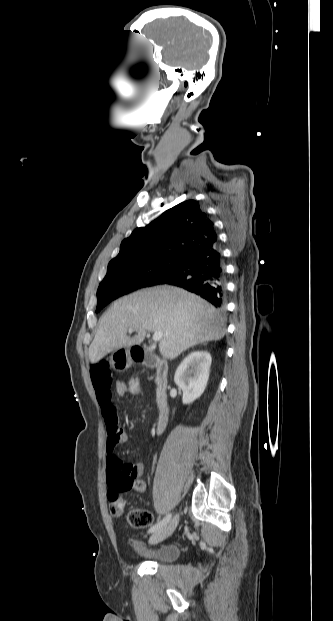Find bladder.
Masks as SVG:
<instances>
[{"label":"bladder","mask_w":333,"mask_h":621,"mask_svg":"<svg viewBox=\"0 0 333 621\" xmlns=\"http://www.w3.org/2000/svg\"><path fill=\"white\" fill-rule=\"evenodd\" d=\"M134 552L141 558L151 562L169 563L178 558L180 550L173 543L159 544L154 548H144L140 541H134Z\"/></svg>","instance_id":"31cf9c89"}]
</instances>
